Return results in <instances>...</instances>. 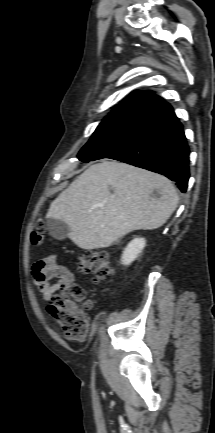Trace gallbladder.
<instances>
[{
  "label": "gallbladder",
  "mask_w": 215,
  "mask_h": 433,
  "mask_svg": "<svg viewBox=\"0 0 215 433\" xmlns=\"http://www.w3.org/2000/svg\"><path fill=\"white\" fill-rule=\"evenodd\" d=\"M47 229L49 231V234L57 240H64L65 238H67L69 233L68 225L58 219H48Z\"/></svg>",
  "instance_id": "bac80fb5"
}]
</instances>
